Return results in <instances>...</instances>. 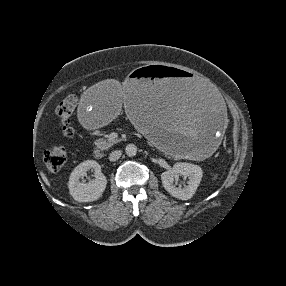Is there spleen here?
<instances>
[{
	"mask_svg": "<svg viewBox=\"0 0 286 286\" xmlns=\"http://www.w3.org/2000/svg\"><path fill=\"white\" fill-rule=\"evenodd\" d=\"M217 177H218V174H215L214 177H213V181L216 180Z\"/></svg>",
	"mask_w": 286,
	"mask_h": 286,
	"instance_id": "3e777b00",
	"label": "spleen"
}]
</instances>
